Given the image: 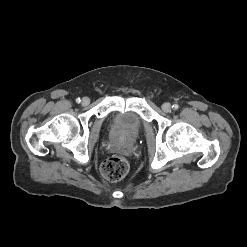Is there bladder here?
I'll list each match as a JSON object with an SVG mask.
<instances>
[{
	"label": "bladder",
	"instance_id": "1",
	"mask_svg": "<svg viewBox=\"0 0 247 247\" xmlns=\"http://www.w3.org/2000/svg\"><path fill=\"white\" fill-rule=\"evenodd\" d=\"M142 129L140 116L132 111L115 114L111 122V132L119 138H134Z\"/></svg>",
	"mask_w": 247,
	"mask_h": 247
}]
</instances>
